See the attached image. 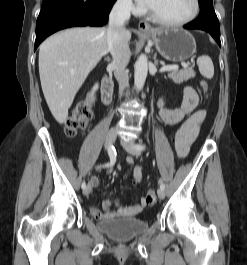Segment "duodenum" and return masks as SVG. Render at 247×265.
I'll use <instances>...</instances> for the list:
<instances>
[{"mask_svg": "<svg viewBox=\"0 0 247 265\" xmlns=\"http://www.w3.org/2000/svg\"><path fill=\"white\" fill-rule=\"evenodd\" d=\"M113 92V82L110 78L106 77L102 82V100L104 104H108L111 100Z\"/></svg>", "mask_w": 247, "mask_h": 265, "instance_id": "410a0bca", "label": "duodenum"}]
</instances>
